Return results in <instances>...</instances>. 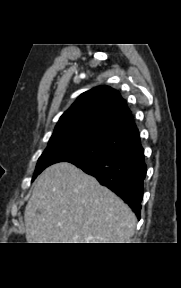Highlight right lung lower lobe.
<instances>
[{"instance_id":"98d812e1","label":"right lung lower lobe","mask_w":181,"mask_h":288,"mask_svg":"<svg viewBox=\"0 0 181 288\" xmlns=\"http://www.w3.org/2000/svg\"><path fill=\"white\" fill-rule=\"evenodd\" d=\"M115 192L140 219L146 164L142 146L70 162Z\"/></svg>"}]
</instances>
